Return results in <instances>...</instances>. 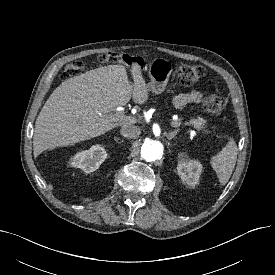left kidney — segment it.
Masks as SVG:
<instances>
[{
	"label": "left kidney",
	"instance_id": "5707ae66",
	"mask_svg": "<svg viewBox=\"0 0 275 275\" xmlns=\"http://www.w3.org/2000/svg\"><path fill=\"white\" fill-rule=\"evenodd\" d=\"M178 157L177 170L181 179L189 186H196L199 183L202 164L197 160L189 159L186 153H180Z\"/></svg>",
	"mask_w": 275,
	"mask_h": 275
}]
</instances>
